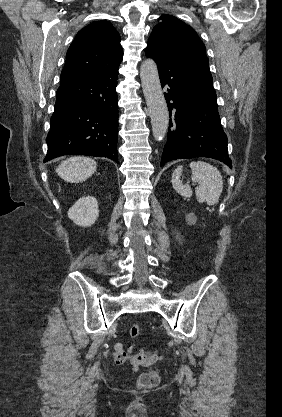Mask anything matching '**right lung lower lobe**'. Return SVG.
<instances>
[{
  "instance_id": "1",
  "label": "right lung lower lobe",
  "mask_w": 282,
  "mask_h": 417,
  "mask_svg": "<svg viewBox=\"0 0 282 417\" xmlns=\"http://www.w3.org/2000/svg\"><path fill=\"white\" fill-rule=\"evenodd\" d=\"M118 69L59 86L44 162L63 155H88L118 163Z\"/></svg>"
}]
</instances>
